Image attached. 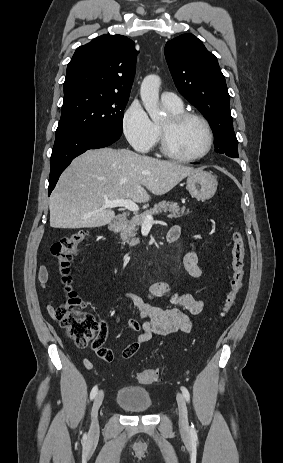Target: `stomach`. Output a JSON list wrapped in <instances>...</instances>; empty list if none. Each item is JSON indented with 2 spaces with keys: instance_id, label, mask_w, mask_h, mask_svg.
Masks as SVG:
<instances>
[{
  "instance_id": "obj_1",
  "label": "stomach",
  "mask_w": 283,
  "mask_h": 463,
  "mask_svg": "<svg viewBox=\"0 0 283 463\" xmlns=\"http://www.w3.org/2000/svg\"><path fill=\"white\" fill-rule=\"evenodd\" d=\"M217 186L216 177L203 170L189 175L186 180V187L190 195L199 201L211 199L216 193Z\"/></svg>"
}]
</instances>
